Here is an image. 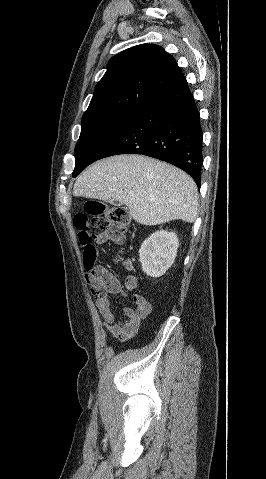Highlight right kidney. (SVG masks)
<instances>
[{"instance_id":"1","label":"right kidney","mask_w":266,"mask_h":479,"mask_svg":"<svg viewBox=\"0 0 266 479\" xmlns=\"http://www.w3.org/2000/svg\"><path fill=\"white\" fill-rule=\"evenodd\" d=\"M178 246L174 232L160 230L151 234L139 250L143 272L153 278L162 276L174 263Z\"/></svg>"}]
</instances>
